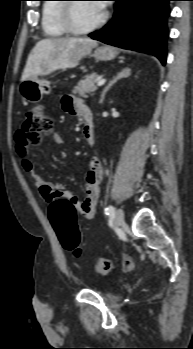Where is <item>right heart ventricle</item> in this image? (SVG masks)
<instances>
[{"label": "right heart ventricle", "mask_w": 193, "mask_h": 349, "mask_svg": "<svg viewBox=\"0 0 193 349\" xmlns=\"http://www.w3.org/2000/svg\"><path fill=\"white\" fill-rule=\"evenodd\" d=\"M56 1L61 0H48L42 8L41 27L44 36L49 39H57L67 35L60 22L62 4Z\"/></svg>", "instance_id": "e07e8e85"}]
</instances>
